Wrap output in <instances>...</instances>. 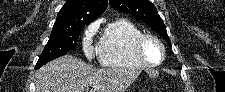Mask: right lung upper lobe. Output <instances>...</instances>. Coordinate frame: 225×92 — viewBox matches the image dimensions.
I'll return each instance as SVG.
<instances>
[{"instance_id":"obj_1","label":"right lung upper lobe","mask_w":225,"mask_h":92,"mask_svg":"<svg viewBox=\"0 0 225 92\" xmlns=\"http://www.w3.org/2000/svg\"><path fill=\"white\" fill-rule=\"evenodd\" d=\"M108 0H68L58 12L53 27H71L77 22L90 23L106 10Z\"/></svg>"}]
</instances>
